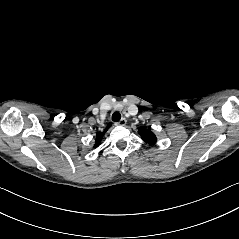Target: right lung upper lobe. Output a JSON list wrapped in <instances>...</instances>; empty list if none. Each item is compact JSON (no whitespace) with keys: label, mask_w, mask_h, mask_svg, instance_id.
I'll list each match as a JSON object with an SVG mask.
<instances>
[{"label":"right lung upper lobe","mask_w":239,"mask_h":239,"mask_svg":"<svg viewBox=\"0 0 239 239\" xmlns=\"http://www.w3.org/2000/svg\"><path fill=\"white\" fill-rule=\"evenodd\" d=\"M110 126H111V124H108V126L106 127V129L103 132L97 133L94 148L99 146V144L101 143L102 137L104 136V134L106 133V131L109 129Z\"/></svg>","instance_id":"cb5924a9"}]
</instances>
